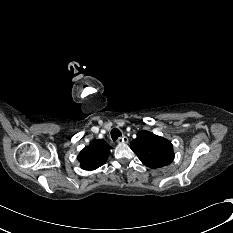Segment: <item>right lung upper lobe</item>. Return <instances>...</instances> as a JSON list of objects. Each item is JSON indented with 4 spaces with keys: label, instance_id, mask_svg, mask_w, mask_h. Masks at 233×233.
Segmentation results:
<instances>
[{
    "label": "right lung upper lobe",
    "instance_id": "right-lung-upper-lobe-1",
    "mask_svg": "<svg viewBox=\"0 0 233 233\" xmlns=\"http://www.w3.org/2000/svg\"><path fill=\"white\" fill-rule=\"evenodd\" d=\"M111 146L104 140H93L78 155L80 166L84 170H95L102 166L109 154Z\"/></svg>",
    "mask_w": 233,
    "mask_h": 233
}]
</instances>
